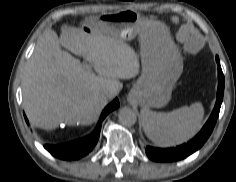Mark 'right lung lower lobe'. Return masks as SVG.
<instances>
[{
	"instance_id": "right-lung-lower-lobe-1",
	"label": "right lung lower lobe",
	"mask_w": 236,
	"mask_h": 182,
	"mask_svg": "<svg viewBox=\"0 0 236 182\" xmlns=\"http://www.w3.org/2000/svg\"><path fill=\"white\" fill-rule=\"evenodd\" d=\"M119 107V101L116 98L112 103H110L105 110L103 111L101 118L99 120V123L90 135L69 142V143H64L60 145H44V148L50 152L53 156L63 159V160H75L79 159L86 154H88L93 147L96 145L98 139H99V134L101 130V123L103 119L113 110L117 109ZM26 122L28 123L27 118L25 117Z\"/></svg>"
}]
</instances>
